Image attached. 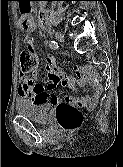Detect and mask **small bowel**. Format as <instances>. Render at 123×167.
<instances>
[{
  "label": "small bowel",
  "instance_id": "obj_1",
  "mask_svg": "<svg viewBox=\"0 0 123 167\" xmlns=\"http://www.w3.org/2000/svg\"><path fill=\"white\" fill-rule=\"evenodd\" d=\"M17 5H19L20 14H29V9H31L29 1H17ZM22 27L25 29L31 28L28 18L23 19ZM24 43L29 49H33L34 39L32 36L27 35L24 39ZM45 77L47 84L42 85L37 83L34 78L21 75V85L19 86L18 94L34 102L46 101L53 105L66 103L72 106L93 107L97 103L102 92V86L95 81L94 75L91 72L86 73L82 78L67 76L65 73L59 71L55 64V58L52 55L46 57ZM60 79L64 85L70 87L91 86L93 92L88 96L66 97L64 100H61L57 96H50V90L53 89L54 85Z\"/></svg>",
  "mask_w": 123,
  "mask_h": 167
}]
</instances>
